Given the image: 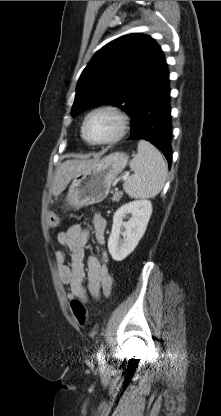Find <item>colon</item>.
I'll list each match as a JSON object with an SVG mask.
<instances>
[{"label": "colon", "instance_id": "1", "mask_svg": "<svg viewBox=\"0 0 221 416\" xmlns=\"http://www.w3.org/2000/svg\"><path fill=\"white\" fill-rule=\"evenodd\" d=\"M60 218L57 214L51 213L48 217V225L50 228H55L59 225ZM71 310L76 321L81 325L84 326L88 322V311L86 306L78 299H74L71 302Z\"/></svg>", "mask_w": 221, "mask_h": 416}]
</instances>
